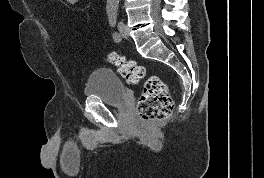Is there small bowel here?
Segmentation results:
<instances>
[{"instance_id":"c3829d8e","label":"small bowel","mask_w":264,"mask_h":178,"mask_svg":"<svg viewBox=\"0 0 264 178\" xmlns=\"http://www.w3.org/2000/svg\"><path fill=\"white\" fill-rule=\"evenodd\" d=\"M66 2L69 5L76 7V6H78L80 4L81 0H66Z\"/></svg>"}]
</instances>
